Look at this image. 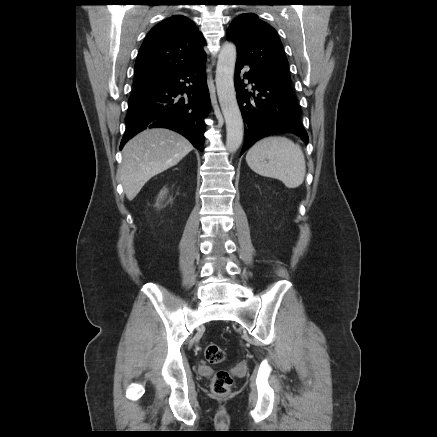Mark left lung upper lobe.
Instances as JSON below:
<instances>
[{"instance_id":"1","label":"left lung upper lobe","mask_w":437,"mask_h":437,"mask_svg":"<svg viewBox=\"0 0 437 437\" xmlns=\"http://www.w3.org/2000/svg\"><path fill=\"white\" fill-rule=\"evenodd\" d=\"M227 39L237 46V58L245 61L269 81L292 91L288 61L273 27L256 14L236 17L227 30Z\"/></svg>"}]
</instances>
